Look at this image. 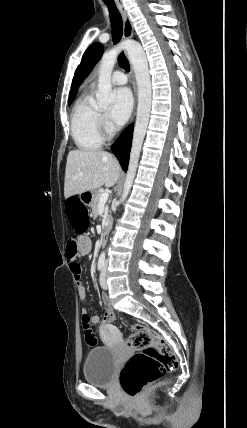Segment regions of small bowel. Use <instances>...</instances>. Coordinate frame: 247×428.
Returning a JSON list of instances; mask_svg holds the SVG:
<instances>
[{"label": "small bowel", "instance_id": "c3829d8e", "mask_svg": "<svg viewBox=\"0 0 247 428\" xmlns=\"http://www.w3.org/2000/svg\"><path fill=\"white\" fill-rule=\"evenodd\" d=\"M91 249H92V242H91L90 238L87 236H83V237L79 238L77 241V253L75 255H72L69 252H67V258L69 261V265H70L72 273L75 276L78 295H79V298L82 302H85V300H86V287L82 283L81 278H80L81 266H80V263L78 260V255L89 254ZM102 300H103V303L106 307V311L111 310L113 312L108 297L106 295H103ZM84 317H87L91 324L100 323V317L97 315L89 316L86 309L82 310V318H84ZM102 326H105V324H103V322H102Z\"/></svg>", "mask_w": 247, "mask_h": 428}]
</instances>
